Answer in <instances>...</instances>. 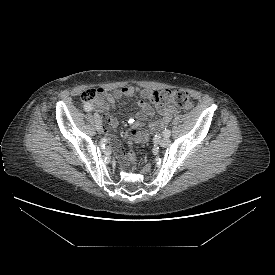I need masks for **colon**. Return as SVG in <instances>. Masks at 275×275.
<instances>
[{
    "instance_id": "1",
    "label": "colon",
    "mask_w": 275,
    "mask_h": 275,
    "mask_svg": "<svg viewBox=\"0 0 275 275\" xmlns=\"http://www.w3.org/2000/svg\"><path fill=\"white\" fill-rule=\"evenodd\" d=\"M81 98L86 103L100 102L99 92L96 89H87L81 94ZM149 100L152 103H164L176 106L182 110L188 111L192 108L193 103L189 94L180 89H164L159 91H152ZM137 134L136 129H131L129 132L130 138H134ZM128 159L133 164H136L137 157L133 150L128 153Z\"/></svg>"
}]
</instances>
